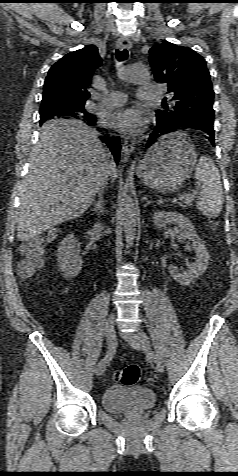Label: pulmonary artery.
Masks as SVG:
<instances>
[{
    "instance_id": "e3ab8cb5",
    "label": "pulmonary artery",
    "mask_w": 238,
    "mask_h": 476,
    "mask_svg": "<svg viewBox=\"0 0 238 476\" xmlns=\"http://www.w3.org/2000/svg\"><path fill=\"white\" fill-rule=\"evenodd\" d=\"M139 98L144 101H156L162 96L160 87L156 85H144L140 88ZM126 102V95L120 91H112L107 96L102 97L99 105L104 108H116Z\"/></svg>"
}]
</instances>
